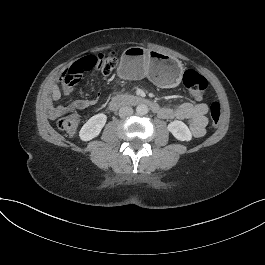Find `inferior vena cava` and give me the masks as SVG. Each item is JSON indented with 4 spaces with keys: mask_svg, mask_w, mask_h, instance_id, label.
<instances>
[{
    "mask_svg": "<svg viewBox=\"0 0 265 265\" xmlns=\"http://www.w3.org/2000/svg\"><path fill=\"white\" fill-rule=\"evenodd\" d=\"M133 114V109L129 106H124L119 109V116L124 118Z\"/></svg>",
    "mask_w": 265,
    "mask_h": 265,
    "instance_id": "1",
    "label": "inferior vena cava"
}]
</instances>
